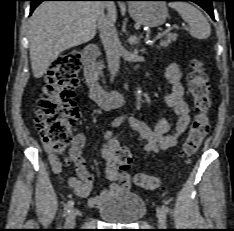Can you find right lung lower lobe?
<instances>
[{"mask_svg": "<svg viewBox=\"0 0 234 231\" xmlns=\"http://www.w3.org/2000/svg\"><path fill=\"white\" fill-rule=\"evenodd\" d=\"M30 1H31V10H30L31 14L34 11V9L43 1H90V0H30ZM91 1H97V0H91Z\"/></svg>", "mask_w": 234, "mask_h": 231, "instance_id": "98d812e1", "label": "right lung lower lobe"}]
</instances>
